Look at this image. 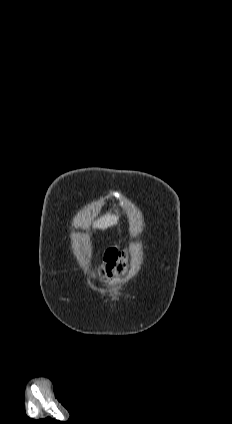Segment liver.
Instances as JSON below:
<instances>
[{
	"instance_id": "6515ba94",
	"label": "liver",
	"mask_w": 232,
	"mask_h": 424,
	"mask_svg": "<svg viewBox=\"0 0 232 424\" xmlns=\"http://www.w3.org/2000/svg\"><path fill=\"white\" fill-rule=\"evenodd\" d=\"M118 216L106 213L94 224V228L106 229L117 224Z\"/></svg>"
}]
</instances>
